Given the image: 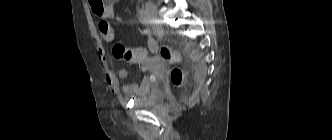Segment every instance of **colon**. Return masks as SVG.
<instances>
[{
  "label": "colon",
  "instance_id": "obj_1",
  "mask_svg": "<svg viewBox=\"0 0 332 140\" xmlns=\"http://www.w3.org/2000/svg\"><path fill=\"white\" fill-rule=\"evenodd\" d=\"M110 0H88L89 5L92 11L98 15L102 16L103 12L106 9V3ZM99 33L103 37L110 36L114 34V29L112 25L105 19L100 20L98 24ZM113 55L116 58L123 59L129 62H138L145 56V49H133L125 47L121 44H117L113 48ZM159 55L172 63H178L181 59L179 53L172 50L167 45H162L159 48ZM171 81L176 87H182L185 83V74L180 67H174L170 73Z\"/></svg>",
  "mask_w": 332,
  "mask_h": 140
}]
</instances>
